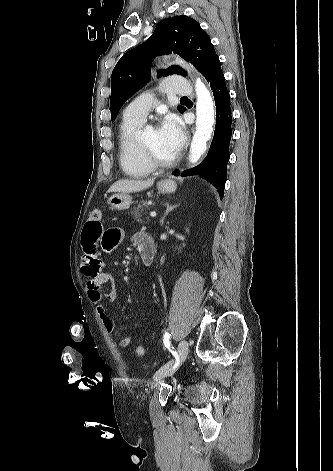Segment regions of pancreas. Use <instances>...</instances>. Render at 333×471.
Wrapping results in <instances>:
<instances>
[{
  "instance_id": "cf45deb5",
  "label": "pancreas",
  "mask_w": 333,
  "mask_h": 471,
  "mask_svg": "<svg viewBox=\"0 0 333 471\" xmlns=\"http://www.w3.org/2000/svg\"><path fill=\"white\" fill-rule=\"evenodd\" d=\"M145 209H148V204L146 201H141L140 204L131 212V214L134 216V218L138 222H143L142 220V214L141 212L144 211ZM148 220V218H146Z\"/></svg>"
}]
</instances>
